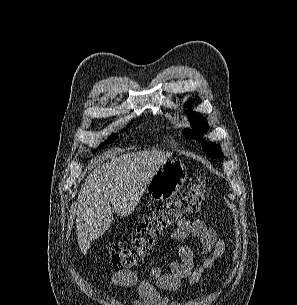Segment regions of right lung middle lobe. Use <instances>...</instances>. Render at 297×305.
<instances>
[{
	"instance_id": "obj_1",
	"label": "right lung middle lobe",
	"mask_w": 297,
	"mask_h": 305,
	"mask_svg": "<svg viewBox=\"0 0 297 305\" xmlns=\"http://www.w3.org/2000/svg\"><path fill=\"white\" fill-rule=\"evenodd\" d=\"M114 139H115V137H114L113 135L110 136L109 139H108L105 143H102V144H101V146H103L104 144H108V143H110V142H113Z\"/></svg>"
}]
</instances>
